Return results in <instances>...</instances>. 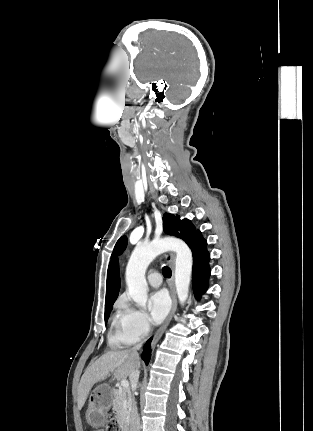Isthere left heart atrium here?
I'll list each match as a JSON object with an SVG mask.
<instances>
[{"label":"left heart atrium","mask_w":313,"mask_h":431,"mask_svg":"<svg viewBox=\"0 0 313 431\" xmlns=\"http://www.w3.org/2000/svg\"><path fill=\"white\" fill-rule=\"evenodd\" d=\"M170 300L165 291H157L148 299L150 319L154 324L161 323L169 312Z\"/></svg>","instance_id":"39dd6f15"}]
</instances>
